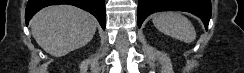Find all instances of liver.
<instances>
[{"mask_svg": "<svg viewBox=\"0 0 244 73\" xmlns=\"http://www.w3.org/2000/svg\"><path fill=\"white\" fill-rule=\"evenodd\" d=\"M96 19L72 5H52L31 20L32 35L47 53L62 57L87 45L96 32Z\"/></svg>", "mask_w": 244, "mask_h": 73, "instance_id": "1", "label": "liver"}]
</instances>
